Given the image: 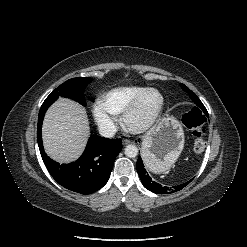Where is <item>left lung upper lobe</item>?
<instances>
[{
	"mask_svg": "<svg viewBox=\"0 0 247 247\" xmlns=\"http://www.w3.org/2000/svg\"><path fill=\"white\" fill-rule=\"evenodd\" d=\"M181 87L183 88L184 91L189 93V95H190L191 99L194 101V103L199 108H201L204 111V113L207 114V111H206L204 105L202 104V102L199 100V98L192 91H190L184 84H181Z\"/></svg>",
	"mask_w": 247,
	"mask_h": 247,
	"instance_id": "left-lung-upper-lobe-1",
	"label": "left lung upper lobe"
}]
</instances>
